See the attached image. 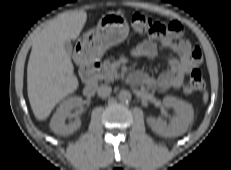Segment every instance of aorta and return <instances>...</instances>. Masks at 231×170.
Wrapping results in <instances>:
<instances>
[{
	"label": "aorta",
	"mask_w": 231,
	"mask_h": 170,
	"mask_svg": "<svg viewBox=\"0 0 231 170\" xmlns=\"http://www.w3.org/2000/svg\"><path fill=\"white\" fill-rule=\"evenodd\" d=\"M131 93L127 90H121L118 94V98L122 102H128L131 100Z\"/></svg>",
	"instance_id": "1"
}]
</instances>
